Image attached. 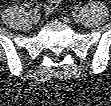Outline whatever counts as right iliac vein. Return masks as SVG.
I'll return each instance as SVG.
<instances>
[{
	"label": "right iliac vein",
	"instance_id": "right-iliac-vein-1",
	"mask_svg": "<svg viewBox=\"0 0 111 106\" xmlns=\"http://www.w3.org/2000/svg\"><path fill=\"white\" fill-rule=\"evenodd\" d=\"M39 21H40V16H39L38 14H34V15L32 16V22H33L34 24H38Z\"/></svg>",
	"mask_w": 111,
	"mask_h": 106
}]
</instances>
